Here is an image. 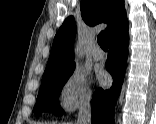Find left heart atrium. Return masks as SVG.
Returning <instances> with one entry per match:
<instances>
[{
  "mask_svg": "<svg viewBox=\"0 0 156 124\" xmlns=\"http://www.w3.org/2000/svg\"><path fill=\"white\" fill-rule=\"evenodd\" d=\"M98 80L101 84H106L109 82V76L104 71H99L97 74Z\"/></svg>",
  "mask_w": 156,
  "mask_h": 124,
  "instance_id": "obj_1",
  "label": "left heart atrium"
}]
</instances>
